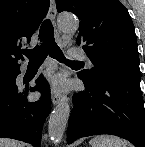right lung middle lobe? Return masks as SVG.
<instances>
[{"instance_id":"dd1d6c3e","label":"right lung middle lobe","mask_w":145,"mask_h":147,"mask_svg":"<svg viewBox=\"0 0 145 147\" xmlns=\"http://www.w3.org/2000/svg\"><path fill=\"white\" fill-rule=\"evenodd\" d=\"M10 78V76H2V74H0V81H3L4 79H8Z\"/></svg>"}]
</instances>
